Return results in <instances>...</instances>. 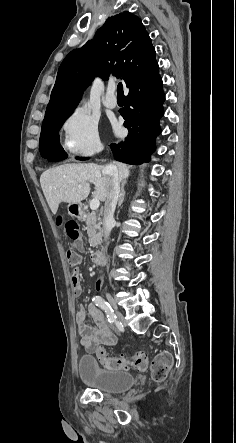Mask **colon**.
<instances>
[{
	"instance_id": "obj_1",
	"label": "colon",
	"mask_w": 236,
	"mask_h": 443,
	"mask_svg": "<svg viewBox=\"0 0 236 443\" xmlns=\"http://www.w3.org/2000/svg\"><path fill=\"white\" fill-rule=\"evenodd\" d=\"M67 236L72 241H77L80 238L79 225L76 221H68L65 224ZM66 258L71 267H76L81 257L79 253L73 248L66 250ZM72 281L77 282V274L73 270L71 273ZM96 356L102 366L108 369H121L129 370L134 369L138 371L146 370L148 366V356L145 352H137L133 356L128 357L125 355L109 356L103 347H96ZM172 365V357L168 353H161L157 355L151 364V374L153 380L160 382L163 381Z\"/></svg>"
}]
</instances>
